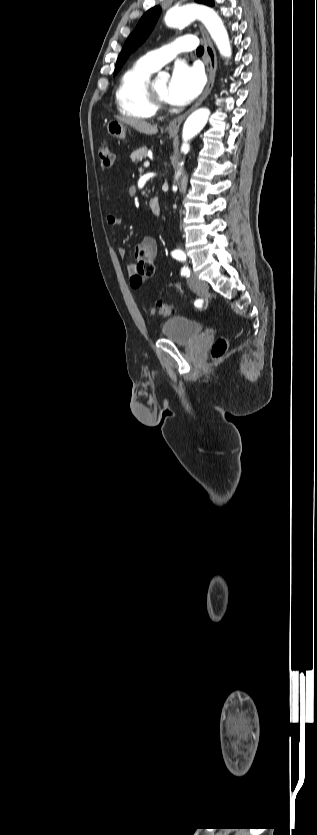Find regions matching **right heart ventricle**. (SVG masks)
<instances>
[{
  "mask_svg": "<svg viewBox=\"0 0 317 835\" xmlns=\"http://www.w3.org/2000/svg\"><path fill=\"white\" fill-rule=\"evenodd\" d=\"M155 71L143 59L128 67L120 77L115 98L119 112L134 119H149L157 112L150 100L147 85Z\"/></svg>",
  "mask_w": 317,
  "mask_h": 835,
  "instance_id": "obj_1",
  "label": "right heart ventricle"
}]
</instances>
